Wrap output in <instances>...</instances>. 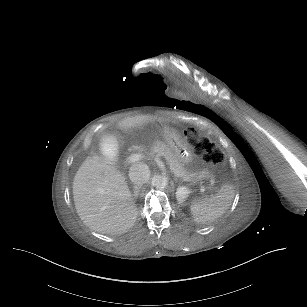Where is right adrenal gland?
Segmentation results:
<instances>
[{
  "instance_id": "2a0ac1e0",
  "label": "right adrenal gland",
  "mask_w": 307,
  "mask_h": 307,
  "mask_svg": "<svg viewBox=\"0 0 307 307\" xmlns=\"http://www.w3.org/2000/svg\"><path fill=\"white\" fill-rule=\"evenodd\" d=\"M137 191L134 192L133 196H136Z\"/></svg>"
}]
</instances>
